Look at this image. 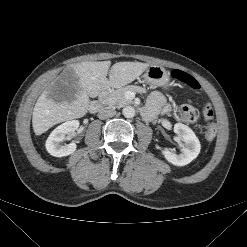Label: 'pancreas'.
Segmentation results:
<instances>
[{
    "label": "pancreas",
    "instance_id": "obj_1",
    "mask_svg": "<svg viewBox=\"0 0 247 247\" xmlns=\"http://www.w3.org/2000/svg\"><path fill=\"white\" fill-rule=\"evenodd\" d=\"M127 91L138 92V93L146 92L145 88L143 87L136 85H129L112 91L109 94V96L104 100V104L111 108H121L125 105L132 104L133 101L125 97Z\"/></svg>",
    "mask_w": 247,
    "mask_h": 247
}]
</instances>
